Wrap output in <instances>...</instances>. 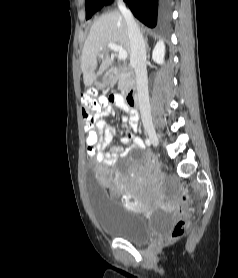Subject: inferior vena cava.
Wrapping results in <instances>:
<instances>
[{"label": "inferior vena cava", "mask_w": 238, "mask_h": 278, "mask_svg": "<svg viewBox=\"0 0 238 278\" xmlns=\"http://www.w3.org/2000/svg\"><path fill=\"white\" fill-rule=\"evenodd\" d=\"M118 7L127 24L130 40V63L136 75V96L142 122L145 126L150 127L152 126V119L148 93L145 41L131 11L126 8L122 0L118 1Z\"/></svg>", "instance_id": "1"}]
</instances>
